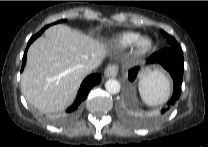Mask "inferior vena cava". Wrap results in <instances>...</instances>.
<instances>
[{
  "mask_svg": "<svg viewBox=\"0 0 208 147\" xmlns=\"http://www.w3.org/2000/svg\"><path fill=\"white\" fill-rule=\"evenodd\" d=\"M96 68V66L95 65H93V64H87L86 66H85V70H86V72H91L93 69H95Z\"/></svg>",
  "mask_w": 208,
  "mask_h": 147,
  "instance_id": "1",
  "label": "inferior vena cava"
}]
</instances>
